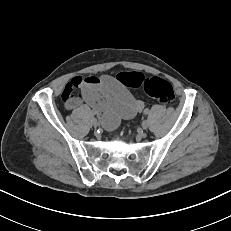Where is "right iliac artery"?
Segmentation results:
<instances>
[{
	"label": "right iliac artery",
	"mask_w": 231,
	"mask_h": 231,
	"mask_svg": "<svg viewBox=\"0 0 231 231\" xmlns=\"http://www.w3.org/2000/svg\"><path fill=\"white\" fill-rule=\"evenodd\" d=\"M91 115L94 116V115H95V112H94V111H91Z\"/></svg>",
	"instance_id": "right-iliac-artery-1"
}]
</instances>
